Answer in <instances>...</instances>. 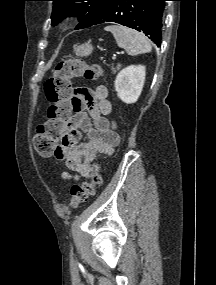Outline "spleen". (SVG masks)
<instances>
[{"label":"spleen","instance_id":"3e777b00","mask_svg":"<svg viewBox=\"0 0 216 285\" xmlns=\"http://www.w3.org/2000/svg\"><path fill=\"white\" fill-rule=\"evenodd\" d=\"M105 31L113 34L117 45L126 50L128 55L135 56L151 52L152 46L142 33L119 25L107 26Z\"/></svg>","mask_w":216,"mask_h":285}]
</instances>
